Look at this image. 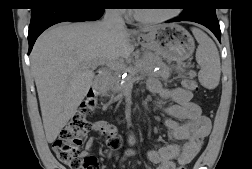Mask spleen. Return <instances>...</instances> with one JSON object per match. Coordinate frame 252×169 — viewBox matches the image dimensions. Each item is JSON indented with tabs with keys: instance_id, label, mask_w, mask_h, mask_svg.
Instances as JSON below:
<instances>
[{
	"instance_id": "3e777b00",
	"label": "spleen",
	"mask_w": 252,
	"mask_h": 169,
	"mask_svg": "<svg viewBox=\"0 0 252 169\" xmlns=\"http://www.w3.org/2000/svg\"><path fill=\"white\" fill-rule=\"evenodd\" d=\"M192 33L199 43L196 50V61L201 67L199 82L207 89H214L218 86L221 75L218 49L212 39L200 29L192 28Z\"/></svg>"
}]
</instances>
